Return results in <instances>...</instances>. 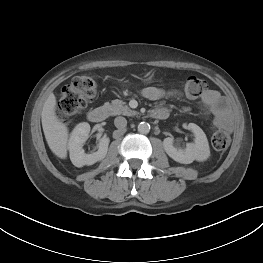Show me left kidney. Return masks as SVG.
Returning <instances> with one entry per match:
<instances>
[{
    "mask_svg": "<svg viewBox=\"0 0 263 263\" xmlns=\"http://www.w3.org/2000/svg\"><path fill=\"white\" fill-rule=\"evenodd\" d=\"M194 134V143H188L185 149L174 146V139L167 137L163 141L164 149L169 157L182 164H190L194 160L204 161L210 155L209 144L203 130L194 123L188 124Z\"/></svg>",
    "mask_w": 263,
    "mask_h": 263,
    "instance_id": "1",
    "label": "left kidney"
}]
</instances>
